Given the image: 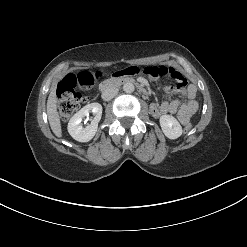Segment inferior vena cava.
<instances>
[{"instance_id":"inferior-vena-cava-1","label":"inferior vena cava","mask_w":247,"mask_h":247,"mask_svg":"<svg viewBox=\"0 0 247 247\" xmlns=\"http://www.w3.org/2000/svg\"><path fill=\"white\" fill-rule=\"evenodd\" d=\"M118 94V88L115 87H108L102 92V99L104 101H109L114 98Z\"/></svg>"}]
</instances>
